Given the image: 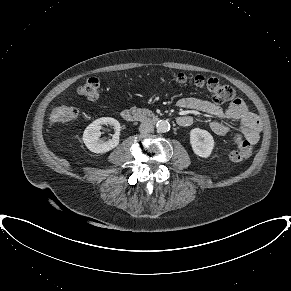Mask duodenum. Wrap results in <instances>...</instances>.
Returning <instances> with one entry per match:
<instances>
[{"mask_svg":"<svg viewBox=\"0 0 291 291\" xmlns=\"http://www.w3.org/2000/svg\"><path fill=\"white\" fill-rule=\"evenodd\" d=\"M121 117L128 122H156L158 120V117L154 113L140 108L126 109L121 113Z\"/></svg>","mask_w":291,"mask_h":291,"instance_id":"1","label":"duodenum"}]
</instances>
